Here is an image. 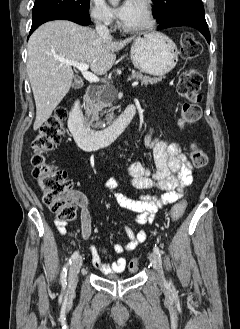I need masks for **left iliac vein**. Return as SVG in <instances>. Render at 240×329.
Returning a JSON list of instances; mask_svg holds the SVG:
<instances>
[{
	"instance_id": "left-iliac-vein-1",
	"label": "left iliac vein",
	"mask_w": 240,
	"mask_h": 329,
	"mask_svg": "<svg viewBox=\"0 0 240 329\" xmlns=\"http://www.w3.org/2000/svg\"><path fill=\"white\" fill-rule=\"evenodd\" d=\"M149 260H150L151 264L153 265L154 269L159 273L161 284L165 285L166 280H165V277L163 274L162 262H161L159 255L155 252H152L149 255Z\"/></svg>"
}]
</instances>
